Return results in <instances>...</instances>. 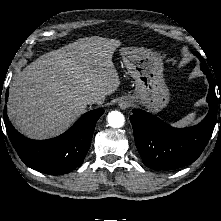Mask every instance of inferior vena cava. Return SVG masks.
<instances>
[{
  "mask_svg": "<svg viewBox=\"0 0 221 221\" xmlns=\"http://www.w3.org/2000/svg\"><path fill=\"white\" fill-rule=\"evenodd\" d=\"M85 103L90 105V104H94V103H97V99L94 98V97H88L86 100H85Z\"/></svg>",
  "mask_w": 221,
  "mask_h": 221,
  "instance_id": "1",
  "label": "inferior vena cava"
}]
</instances>
